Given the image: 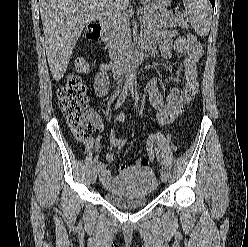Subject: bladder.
I'll use <instances>...</instances> for the list:
<instances>
[{
	"label": "bladder",
	"instance_id": "31cf9c89",
	"mask_svg": "<svg viewBox=\"0 0 248 247\" xmlns=\"http://www.w3.org/2000/svg\"><path fill=\"white\" fill-rule=\"evenodd\" d=\"M157 188L155 173L147 167H131L118 177L115 192H104L105 199L118 207L130 208L148 204Z\"/></svg>",
	"mask_w": 248,
	"mask_h": 247
}]
</instances>
